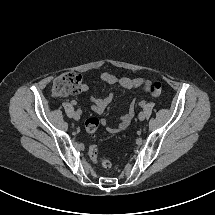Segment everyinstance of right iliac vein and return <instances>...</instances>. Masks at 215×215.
I'll return each instance as SVG.
<instances>
[{
  "mask_svg": "<svg viewBox=\"0 0 215 215\" xmlns=\"http://www.w3.org/2000/svg\"><path fill=\"white\" fill-rule=\"evenodd\" d=\"M73 118L78 121L80 119V114L78 112L74 113Z\"/></svg>",
  "mask_w": 215,
  "mask_h": 215,
  "instance_id": "obj_1",
  "label": "right iliac vein"
}]
</instances>
